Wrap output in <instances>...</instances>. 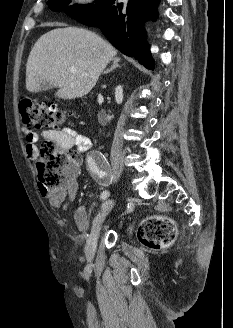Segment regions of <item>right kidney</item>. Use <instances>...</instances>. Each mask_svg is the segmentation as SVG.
Listing matches in <instances>:
<instances>
[{
    "instance_id": "right-kidney-1",
    "label": "right kidney",
    "mask_w": 233,
    "mask_h": 328,
    "mask_svg": "<svg viewBox=\"0 0 233 328\" xmlns=\"http://www.w3.org/2000/svg\"><path fill=\"white\" fill-rule=\"evenodd\" d=\"M115 100L118 104H121L123 101V89L120 85L115 89Z\"/></svg>"
}]
</instances>
